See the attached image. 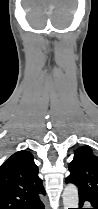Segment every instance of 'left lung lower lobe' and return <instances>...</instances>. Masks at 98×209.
<instances>
[{
  "label": "left lung lower lobe",
  "mask_w": 98,
  "mask_h": 209,
  "mask_svg": "<svg viewBox=\"0 0 98 209\" xmlns=\"http://www.w3.org/2000/svg\"><path fill=\"white\" fill-rule=\"evenodd\" d=\"M85 201H89L92 205V208L91 209H98V204L86 199V198H83V197H79V209H84L82 208L83 204Z\"/></svg>",
  "instance_id": "left-lung-lower-lobe-1"
}]
</instances>
